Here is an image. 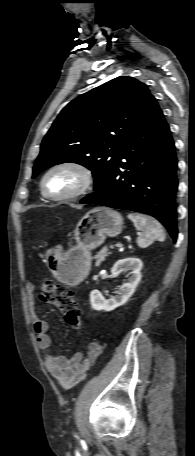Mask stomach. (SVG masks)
Listing matches in <instances>:
<instances>
[{
  "label": "stomach",
  "mask_w": 195,
  "mask_h": 456,
  "mask_svg": "<svg viewBox=\"0 0 195 456\" xmlns=\"http://www.w3.org/2000/svg\"><path fill=\"white\" fill-rule=\"evenodd\" d=\"M121 214L107 207L88 211L74 229L76 245L63 251L60 247L50 249L45 255L48 267L61 282L79 284L91 267V250L99 247L107 236L114 237L123 228Z\"/></svg>",
  "instance_id": "1"
}]
</instances>
